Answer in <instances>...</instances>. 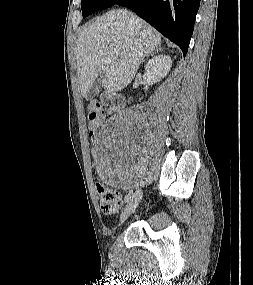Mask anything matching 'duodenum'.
Listing matches in <instances>:
<instances>
[{
  "mask_svg": "<svg viewBox=\"0 0 253 285\" xmlns=\"http://www.w3.org/2000/svg\"><path fill=\"white\" fill-rule=\"evenodd\" d=\"M103 103L108 107L110 112H117L125 107V98L116 93H106L103 96Z\"/></svg>",
  "mask_w": 253,
  "mask_h": 285,
  "instance_id": "1",
  "label": "duodenum"
}]
</instances>
